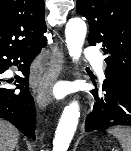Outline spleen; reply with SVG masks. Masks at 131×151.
Here are the masks:
<instances>
[{
    "mask_svg": "<svg viewBox=\"0 0 131 151\" xmlns=\"http://www.w3.org/2000/svg\"><path fill=\"white\" fill-rule=\"evenodd\" d=\"M119 141L123 151H131V129L126 127H112L107 129Z\"/></svg>",
    "mask_w": 131,
    "mask_h": 151,
    "instance_id": "1",
    "label": "spleen"
}]
</instances>
